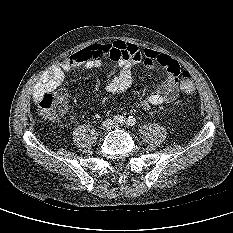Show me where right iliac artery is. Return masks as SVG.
Masks as SVG:
<instances>
[{
    "label": "right iliac artery",
    "mask_w": 233,
    "mask_h": 233,
    "mask_svg": "<svg viewBox=\"0 0 233 233\" xmlns=\"http://www.w3.org/2000/svg\"><path fill=\"white\" fill-rule=\"evenodd\" d=\"M113 119L116 123L123 124V123H125L126 118L124 116H121V115H116L113 117Z\"/></svg>",
    "instance_id": "1"
}]
</instances>
